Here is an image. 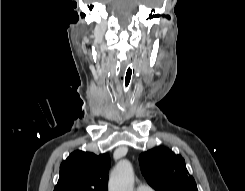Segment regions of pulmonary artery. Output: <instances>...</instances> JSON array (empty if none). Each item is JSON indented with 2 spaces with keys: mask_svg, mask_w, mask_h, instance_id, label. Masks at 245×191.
<instances>
[{
  "mask_svg": "<svg viewBox=\"0 0 245 191\" xmlns=\"http://www.w3.org/2000/svg\"><path fill=\"white\" fill-rule=\"evenodd\" d=\"M135 191H154V190L146 184H140L136 187Z\"/></svg>",
  "mask_w": 245,
  "mask_h": 191,
  "instance_id": "pulmonary-artery-1",
  "label": "pulmonary artery"
}]
</instances>
